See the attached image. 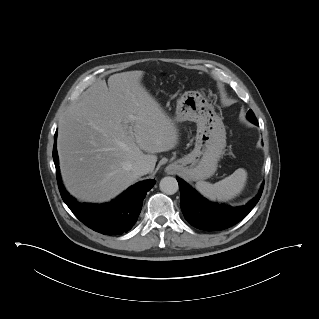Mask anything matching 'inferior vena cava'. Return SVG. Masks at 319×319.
<instances>
[{"mask_svg": "<svg viewBox=\"0 0 319 319\" xmlns=\"http://www.w3.org/2000/svg\"><path fill=\"white\" fill-rule=\"evenodd\" d=\"M133 172L138 175L142 176L150 172L151 167L150 164L144 160L136 162L132 167Z\"/></svg>", "mask_w": 319, "mask_h": 319, "instance_id": "602c4592", "label": "inferior vena cava"}]
</instances>
